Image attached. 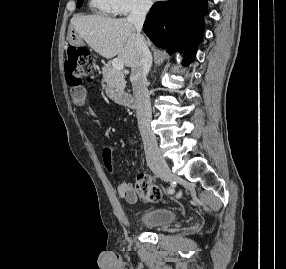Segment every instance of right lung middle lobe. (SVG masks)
I'll return each instance as SVG.
<instances>
[{"label": "right lung middle lobe", "mask_w": 286, "mask_h": 269, "mask_svg": "<svg viewBox=\"0 0 286 269\" xmlns=\"http://www.w3.org/2000/svg\"><path fill=\"white\" fill-rule=\"evenodd\" d=\"M77 2H78V7H80V5L83 2V0H77Z\"/></svg>", "instance_id": "right-lung-middle-lobe-1"}]
</instances>
